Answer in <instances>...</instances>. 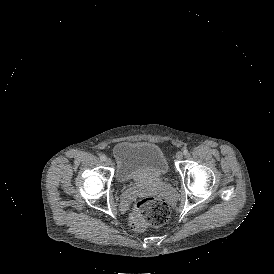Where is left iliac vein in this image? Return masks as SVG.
<instances>
[{"instance_id": "1", "label": "left iliac vein", "mask_w": 274, "mask_h": 274, "mask_svg": "<svg viewBox=\"0 0 274 274\" xmlns=\"http://www.w3.org/2000/svg\"><path fill=\"white\" fill-rule=\"evenodd\" d=\"M176 160H182L183 159V153L181 151L177 152L176 156H175Z\"/></svg>"}]
</instances>
